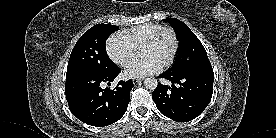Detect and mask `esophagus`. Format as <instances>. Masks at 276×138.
I'll return each instance as SVG.
<instances>
[{"mask_svg": "<svg viewBox=\"0 0 276 138\" xmlns=\"http://www.w3.org/2000/svg\"><path fill=\"white\" fill-rule=\"evenodd\" d=\"M141 81V79H139V78H133L132 79V82L134 83V84H137L138 82H140Z\"/></svg>", "mask_w": 276, "mask_h": 138, "instance_id": "34e87169", "label": "esophagus"}]
</instances>
